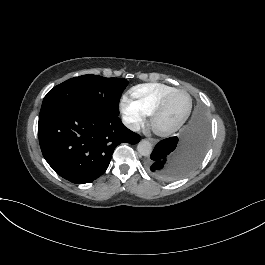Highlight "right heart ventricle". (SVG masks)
<instances>
[{"instance_id": "right-heart-ventricle-1", "label": "right heart ventricle", "mask_w": 265, "mask_h": 265, "mask_svg": "<svg viewBox=\"0 0 265 265\" xmlns=\"http://www.w3.org/2000/svg\"><path fill=\"white\" fill-rule=\"evenodd\" d=\"M173 89L175 88L161 84H146L132 89L131 94L144 113L152 115L160 99Z\"/></svg>"}]
</instances>
